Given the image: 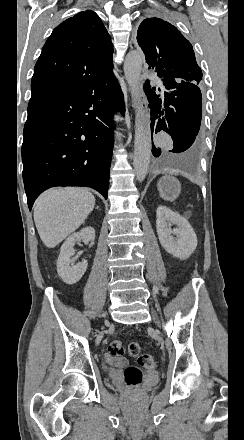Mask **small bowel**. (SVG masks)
Returning a JSON list of instances; mask_svg holds the SVG:
<instances>
[{
	"instance_id": "c3829d8e",
	"label": "small bowel",
	"mask_w": 244,
	"mask_h": 440,
	"mask_svg": "<svg viewBox=\"0 0 244 440\" xmlns=\"http://www.w3.org/2000/svg\"><path fill=\"white\" fill-rule=\"evenodd\" d=\"M109 361H111L116 367H124L127 365L126 360L121 358H115L113 356L106 357Z\"/></svg>"
}]
</instances>
